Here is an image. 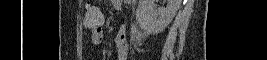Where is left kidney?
<instances>
[{"mask_svg": "<svg viewBox=\"0 0 267 60\" xmlns=\"http://www.w3.org/2000/svg\"><path fill=\"white\" fill-rule=\"evenodd\" d=\"M180 4L181 0H167L166 8L157 9L155 0H141L136 11V20L147 33H160L171 23Z\"/></svg>", "mask_w": 267, "mask_h": 60, "instance_id": "5707ae66", "label": "left kidney"}]
</instances>
